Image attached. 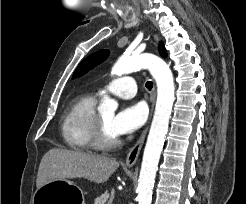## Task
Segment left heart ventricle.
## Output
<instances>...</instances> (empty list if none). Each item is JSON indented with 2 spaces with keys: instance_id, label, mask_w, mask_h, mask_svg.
I'll return each mask as SVG.
<instances>
[{
  "instance_id": "left-heart-ventricle-1",
  "label": "left heart ventricle",
  "mask_w": 246,
  "mask_h": 204,
  "mask_svg": "<svg viewBox=\"0 0 246 204\" xmlns=\"http://www.w3.org/2000/svg\"><path fill=\"white\" fill-rule=\"evenodd\" d=\"M100 117L104 125L106 136L111 139L116 138L117 136L113 132L112 127H111V123H112L114 115L112 113H102L100 114Z\"/></svg>"
}]
</instances>
